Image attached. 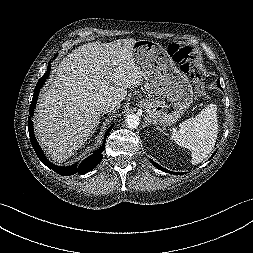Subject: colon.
Returning a JSON list of instances; mask_svg holds the SVG:
<instances>
[{"label": "colon", "mask_w": 253, "mask_h": 253, "mask_svg": "<svg viewBox=\"0 0 253 253\" xmlns=\"http://www.w3.org/2000/svg\"><path fill=\"white\" fill-rule=\"evenodd\" d=\"M168 54L178 63L183 70L190 74L196 82L197 89L200 93L204 92L203 74L196 69L193 62V51L190 47H183L176 43L168 46Z\"/></svg>", "instance_id": "1"}]
</instances>
